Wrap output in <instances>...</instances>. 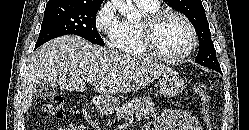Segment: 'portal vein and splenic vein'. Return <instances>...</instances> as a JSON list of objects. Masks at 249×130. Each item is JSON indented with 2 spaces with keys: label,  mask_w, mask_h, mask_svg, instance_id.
<instances>
[{
  "label": "portal vein and splenic vein",
  "mask_w": 249,
  "mask_h": 130,
  "mask_svg": "<svg viewBox=\"0 0 249 130\" xmlns=\"http://www.w3.org/2000/svg\"><path fill=\"white\" fill-rule=\"evenodd\" d=\"M87 81L90 82V83H93V84H95V83L97 82L96 79H91V78H90V79H87Z\"/></svg>",
  "instance_id": "18ae733b"
}]
</instances>
